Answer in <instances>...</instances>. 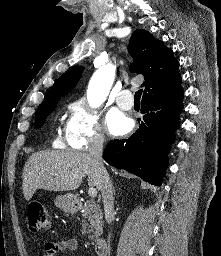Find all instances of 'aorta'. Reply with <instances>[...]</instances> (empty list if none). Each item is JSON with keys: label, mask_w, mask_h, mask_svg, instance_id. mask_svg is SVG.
I'll list each match as a JSON object with an SVG mask.
<instances>
[{"label": "aorta", "mask_w": 221, "mask_h": 256, "mask_svg": "<svg viewBox=\"0 0 221 256\" xmlns=\"http://www.w3.org/2000/svg\"><path fill=\"white\" fill-rule=\"evenodd\" d=\"M115 76L114 67L107 64L99 68L92 76L87 91V99L92 107H99L107 98Z\"/></svg>", "instance_id": "obj_1"}]
</instances>
